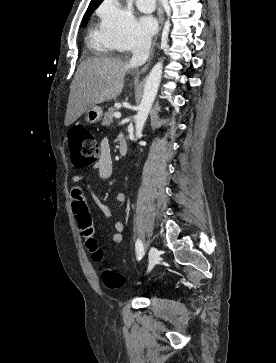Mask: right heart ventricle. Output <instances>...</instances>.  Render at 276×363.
<instances>
[{
    "label": "right heart ventricle",
    "instance_id": "e07e8e85",
    "mask_svg": "<svg viewBox=\"0 0 276 363\" xmlns=\"http://www.w3.org/2000/svg\"><path fill=\"white\" fill-rule=\"evenodd\" d=\"M89 46L99 54H109L117 50L116 44L111 41L101 28H92L88 39Z\"/></svg>",
    "mask_w": 276,
    "mask_h": 363
}]
</instances>
